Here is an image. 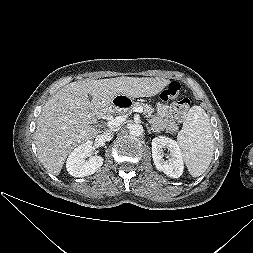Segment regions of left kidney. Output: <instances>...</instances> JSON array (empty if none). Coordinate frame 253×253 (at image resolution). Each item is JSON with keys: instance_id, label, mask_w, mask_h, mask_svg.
I'll return each instance as SVG.
<instances>
[{"instance_id": "5707ae66", "label": "left kidney", "mask_w": 253, "mask_h": 253, "mask_svg": "<svg viewBox=\"0 0 253 253\" xmlns=\"http://www.w3.org/2000/svg\"><path fill=\"white\" fill-rule=\"evenodd\" d=\"M163 148H167L170 152V158H163ZM152 158L157 170L163 171L171 178H179L184 170L183 154L176 141L158 136L152 140Z\"/></svg>"}]
</instances>
